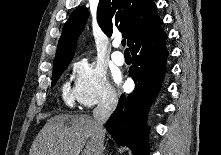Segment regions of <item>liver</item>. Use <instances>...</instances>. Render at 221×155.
<instances>
[{"label": "liver", "instance_id": "6515ba94", "mask_svg": "<svg viewBox=\"0 0 221 155\" xmlns=\"http://www.w3.org/2000/svg\"><path fill=\"white\" fill-rule=\"evenodd\" d=\"M98 155L94 118L89 115H57L38 133L29 155Z\"/></svg>", "mask_w": 221, "mask_h": 155}]
</instances>
